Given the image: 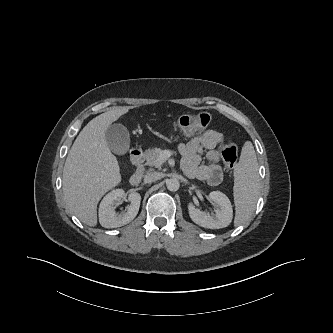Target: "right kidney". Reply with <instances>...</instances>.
I'll return each mask as SVG.
<instances>
[{
	"label": "right kidney",
	"instance_id": "right-kidney-1",
	"mask_svg": "<svg viewBox=\"0 0 333 333\" xmlns=\"http://www.w3.org/2000/svg\"><path fill=\"white\" fill-rule=\"evenodd\" d=\"M125 197L123 189H115L108 193L99 206V222L105 228H117L130 223L138 214L141 196L137 192L129 194L131 204L125 212H115L116 205Z\"/></svg>",
	"mask_w": 333,
	"mask_h": 333
}]
</instances>
